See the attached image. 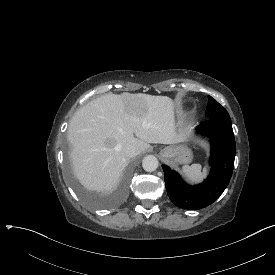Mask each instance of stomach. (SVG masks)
<instances>
[{
  "label": "stomach",
  "instance_id": "stomach-1",
  "mask_svg": "<svg viewBox=\"0 0 275 275\" xmlns=\"http://www.w3.org/2000/svg\"><path fill=\"white\" fill-rule=\"evenodd\" d=\"M160 154L162 158L171 160L176 165H187L194 159L193 150L188 143L169 145Z\"/></svg>",
  "mask_w": 275,
  "mask_h": 275
}]
</instances>
